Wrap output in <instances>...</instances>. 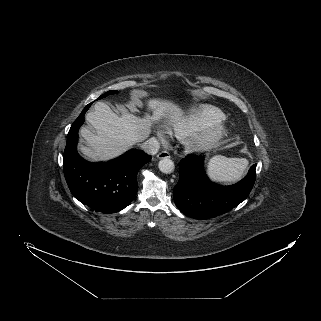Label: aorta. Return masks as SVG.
Instances as JSON below:
<instances>
[{"mask_svg": "<svg viewBox=\"0 0 321 321\" xmlns=\"http://www.w3.org/2000/svg\"><path fill=\"white\" fill-rule=\"evenodd\" d=\"M158 168L162 173L170 174L174 171L175 165L169 158H163L159 161Z\"/></svg>", "mask_w": 321, "mask_h": 321, "instance_id": "1", "label": "aorta"}]
</instances>
